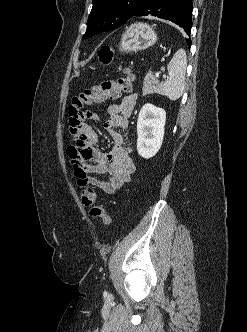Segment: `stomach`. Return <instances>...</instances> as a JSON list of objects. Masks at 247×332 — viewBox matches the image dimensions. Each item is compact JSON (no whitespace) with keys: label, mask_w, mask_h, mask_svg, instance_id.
I'll list each match as a JSON object with an SVG mask.
<instances>
[{"label":"stomach","mask_w":247,"mask_h":332,"mask_svg":"<svg viewBox=\"0 0 247 332\" xmlns=\"http://www.w3.org/2000/svg\"><path fill=\"white\" fill-rule=\"evenodd\" d=\"M156 41L157 34L152 27L145 23H134L122 35L120 51L129 53L145 50Z\"/></svg>","instance_id":"stomach-1"}]
</instances>
